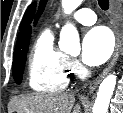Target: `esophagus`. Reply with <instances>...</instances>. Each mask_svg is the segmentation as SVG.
Here are the masks:
<instances>
[{
  "label": "esophagus",
  "mask_w": 123,
  "mask_h": 113,
  "mask_svg": "<svg viewBox=\"0 0 123 113\" xmlns=\"http://www.w3.org/2000/svg\"><path fill=\"white\" fill-rule=\"evenodd\" d=\"M117 6L115 0H110V10L114 13ZM121 49V34L118 29H116V45L115 50L109 65L103 70V72L89 85V92H92L96 89L102 79L109 73L114 64L116 63Z\"/></svg>",
  "instance_id": "1"
}]
</instances>
